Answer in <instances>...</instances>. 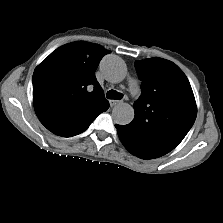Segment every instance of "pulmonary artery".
I'll use <instances>...</instances> for the list:
<instances>
[{
  "mask_svg": "<svg viewBox=\"0 0 223 223\" xmlns=\"http://www.w3.org/2000/svg\"><path fill=\"white\" fill-rule=\"evenodd\" d=\"M129 89L133 95L137 94L139 91L138 83L136 80H131L129 83Z\"/></svg>",
  "mask_w": 223,
  "mask_h": 223,
  "instance_id": "e3ab8cb5",
  "label": "pulmonary artery"
}]
</instances>
